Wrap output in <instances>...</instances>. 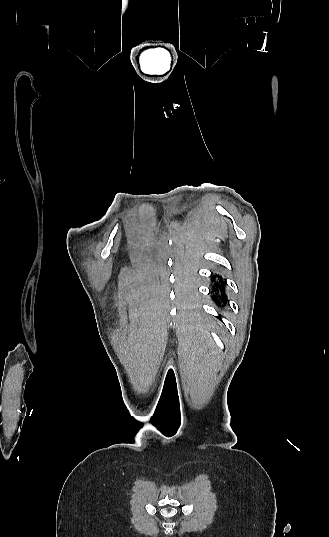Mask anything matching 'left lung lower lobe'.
<instances>
[{
	"label": "left lung lower lobe",
	"mask_w": 329,
	"mask_h": 537,
	"mask_svg": "<svg viewBox=\"0 0 329 537\" xmlns=\"http://www.w3.org/2000/svg\"><path fill=\"white\" fill-rule=\"evenodd\" d=\"M215 284L217 285V292L220 293L219 298L221 302H225L223 294L225 295V283L222 281V279L218 276V278H215Z\"/></svg>",
	"instance_id": "1"
}]
</instances>
